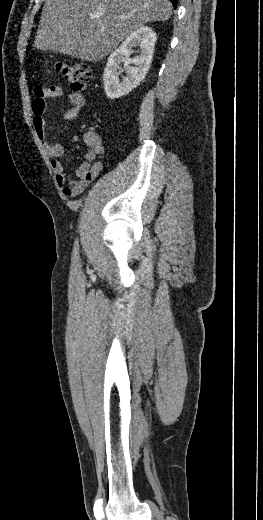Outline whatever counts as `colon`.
<instances>
[{
    "instance_id": "1",
    "label": "colon",
    "mask_w": 263,
    "mask_h": 520,
    "mask_svg": "<svg viewBox=\"0 0 263 520\" xmlns=\"http://www.w3.org/2000/svg\"><path fill=\"white\" fill-rule=\"evenodd\" d=\"M56 68L74 91H82L91 79V70L88 65L57 63Z\"/></svg>"
}]
</instances>
